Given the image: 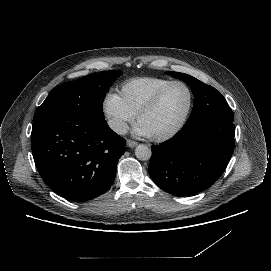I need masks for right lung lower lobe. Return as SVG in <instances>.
Instances as JSON below:
<instances>
[{
    "instance_id": "1",
    "label": "right lung lower lobe",
    "mask_w": 271,
    "mask_h": 271,
    "mask_svg": "<svg viewBox=\"0 0 271 271\" xmlns=\"http://www.w3.org/2000/svg\"><path fill=\"white\" fill-rule=\"evenodd\" d=\"M31 147L43 181L81 202L111 187L125 140L96 115L53 114L33 121Z\"/></svg>"
}]
</instances>
